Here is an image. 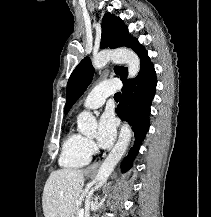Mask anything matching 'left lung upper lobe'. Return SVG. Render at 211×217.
<instances>
[{
	"label": "left lung upper lobe",
	"mask_w": 211,
	"mask_h": 217,
	"mask_svg": "<svg viewBox=\"0 0 211 217\" xmlns=\"http://www.w3.org/2000/svg\"><path fill=\"white\" fill-rule=\"evenodd\" d=\"M126 46L137 53L141 61L142 71L145 67L151 65L150 58L144 47L132 38L123 21L110 13H106L102 20V37L100 48H118ZM120 79L127 81V68L116 66L114 68ZM94 69L89 57H85L72 72L66 90L65 114L70 110L76 100L84 93L93 77Z\"/></svg>",
	"instance_id": "5c2ea615"
}]
</instances>
